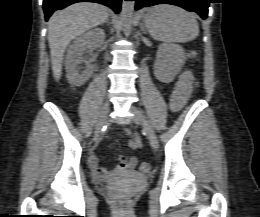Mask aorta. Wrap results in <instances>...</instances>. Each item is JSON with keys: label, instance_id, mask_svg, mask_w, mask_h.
I'll return each instance as SVG.
<instances>
[{"label": "aorta", "instance_id": "obj_1", "mask_svg": "<svg viewBox=\"0 0 260 217\" xmlns=\"http://www.w3.org/2000/svg\"><path fill=\"white\" fill-rule=\"evenodd\" d=\"M135 8L134 1H124L122 2L120 18L123 25L125 35H129L131 31V26L133 23V13Z\"/></svg>", "mask_w": 260, "mask_h": 217}]
</instances>
